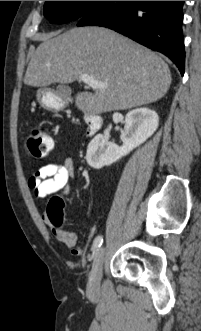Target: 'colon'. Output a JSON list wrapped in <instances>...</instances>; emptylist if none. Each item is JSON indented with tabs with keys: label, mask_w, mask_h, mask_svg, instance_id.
<instances>
[{
	"label": "colon",
	"mask_w": 201,
	"mask_h": 331,
	"mask_svg": "<svg viewBox=\"0 0 201 331\" xmlns=\"http://www.w3.org/2000/svg\"><path fill=\"white\" fill-rule=\"evenodd\" d=\"M53 146L52 138L46 132L34 129L27 136V147L33 157L43 159L50 153ZM61 204L60 198L50 201L51 209H57Z\"/></svg>",
	"instance_id": "obj_1"
}]
</instances>
